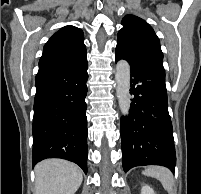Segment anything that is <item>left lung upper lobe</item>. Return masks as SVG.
<instances>
[{"label": "left lung upper lobe", "instance_id": "1", "mask_svg": "<svg viewBox=\"0 0 201 194\" xmlns=\"http://www.w3.org/2000/svg\"><path fill=\"white\" fill-rule=\"evenodd\" d=\"M118 32L117 47L125 54L163 65L160 41L152 27L135 15H126Z\"/></svg>", "mask_w": 201, "mask_h": 194}]
</instances>
